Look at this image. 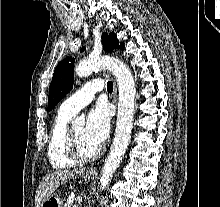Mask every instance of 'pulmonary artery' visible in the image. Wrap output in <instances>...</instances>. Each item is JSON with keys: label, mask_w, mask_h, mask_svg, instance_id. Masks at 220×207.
I'll use <instances>...</instances> for the list:
<instances>
[{"label": "pulmonary artery", "mask_w": 220, "mask_h": 207, "mask_svg": "<svg viewBox=\"0 0 220 207\" xmlns=\"http://www.w3.org/2000/svg\"><path fill=\"white\" fill-rule=\"evenodd\" d=\"M103 88L104 83L101 79H93L87 82L61 104L59 111L71 116L75 115L92 101L96 92L101 91Z\"/></svg>", "instance_id": "1"}]
</instances>
